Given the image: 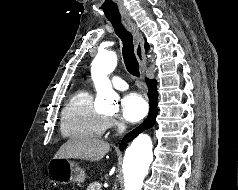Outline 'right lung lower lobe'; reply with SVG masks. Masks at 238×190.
I'll list each match as a JSON object with an SVG mask.
<instances>
[{"instance_id": "98d812e1", "label": "right lung lower lobe", "mask_w": 238, "mask_h": 190, "mask_svg": "<svg viewBox=\"0 0 238 190\" xmlns=\"http://www.w3.org/2000/svg\"><path fill=\"white\" fill-rule=\"evenodd\" d=\"M146 83L148 86V97L150 102V111L147 119L141 124L138 128L134 129L130 132L122 141L120 147L124 148L127 146V143L130 142L136 135L142 131L143 129L151 128L156 122V116L158 114V107H157V81L154 79H146Z\"/></svg>"}]
</instances>
